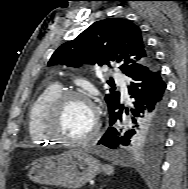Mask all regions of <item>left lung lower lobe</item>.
<instances>
[{
    "mask_svg": "<svg viewBox=\"0 0 188 189\" xmlns=\"http://www.w3.org/2000/svg\"><path fill=\"white\" fill-rule=\"evenodd\" d=\"M128 86L132 98L131 107L118 105L109 112L106 133L98 144L110 149H125L138 126L159 127L165 125L167 115L166 84L161 77L155 59L135 68L130 74ZM129 116L128 123H122V112ZM117 125L116 127H112Z\"/></svg>",
    "mask_w": 188,
    "mask_h": 189,
    "instance_id": "1",
    "label": "left lung lower lobe"
}]
</instances>
